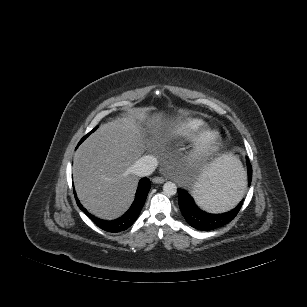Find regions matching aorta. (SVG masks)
Returning a JSON list of instances; mask_svg holds the SVG:
<instances>
[{"label":"aorta","mask_w":307,"mask_h":307,"mask_svg":"<svg viewBox=\"0 0 307 307\" xmlns=\"http://www.w3.org/2000/svg\"><path fill=\"white\" fill-rule=\"evenodd\" d=\"M163 191L167 196H173L177 193V186L173 182H166L163 185Z\"/></svg>","instance_id":"1"}]
</instances>
